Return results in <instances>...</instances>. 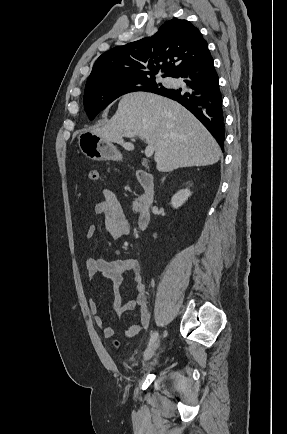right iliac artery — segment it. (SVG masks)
Masks as SVG:
<instances>
[{"label":"right iliac artery","instance_id":"82829eb1","mask_svg":"<svg viewBox=\"0 0 287 434\" xmlns=\"http://www.w3.org/2000/svg\"><path fill=\"white\" fill-rule=\"evenodd\" d=\"M157 338H158V332L155 331V332H153V333L151 334V338H150V341H149V345L152 344L153 342H155V341L157 340Z\"/></svg>","mask_w":287,"mask_h":434}]
</instances>
